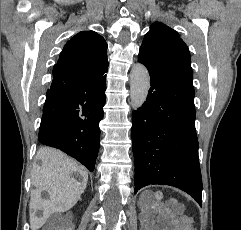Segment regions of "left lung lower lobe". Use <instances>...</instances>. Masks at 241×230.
<instances>
[{
	"mask_svg": "<svg viewBox=\"0 0 241 230\" xmlns=\"http://www.w3.org/2000/svg\"><path fill=\"white\" fill-rule=\"evenodd\" d=\"M147 69L151 88L146 102L132 114L135 193L150 184L171 185L201 205L193 84Z\"/></svg>",
	"mask_w": 241,
	"mask_h": 230,
	"instance_id": "left-lung-lower-lobe-1",
	"label": "left lung lower lobe"
}]
</instances>
